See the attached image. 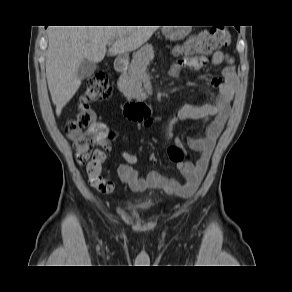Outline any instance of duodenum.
Wrapping results in <instances>:
<instances>
[{"label":"duodenum","instance_id":"410a0bca","mask_svg":"<svg viewBox=\"0 0 292 292\" xmlns=\"http://www.w3.org/2000/svg\"><path fill=\"white\" fill-rule=\"evenodd\" d=\"M128 61L125 58L118 57L114 61V69L118 73H124L127 69ZM124 112L129 118H142L149 115V108L143 102H128L124 106ZM142 120H144L142 118Z\"/></svg>","mask_w":292,"mask_h":292}]
</instances>
